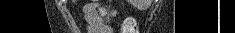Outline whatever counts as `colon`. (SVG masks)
Returning a JSON list of instances; mask_svg holds the SVG:
<instances>
[{"label":"colon","instance_id":"1","mask_svg":"<svg viewBox=\"0 0 235 33\" xmlns=\"http://www.w3.org/2000/svg\"><path fill=\"white\" fill-rule=\"evenodd\" d=\"M102 14L104 18L110 20L114 16L115 12L113 9H103ZM122 29L124 33H137L135 21L130 18L123 22Z\"/></svg>","mask_w":235,"mask_h":33}]
</instances>
